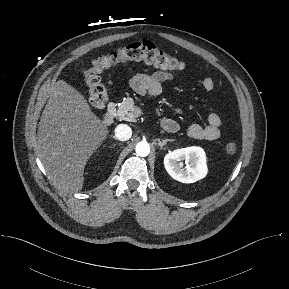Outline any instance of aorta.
I'll use <instances>...</instances> for the list:
<instances>
[{"label":"aorta","instance_id":"obj_1","mask_svg":"<svg viewBox=\"0 0 289 289\" xmlns=\"http://www.w3.org/2000/svg\"><path fill=\"white\" fill-rule=\"evenodd\" d=\"M150 152V146L147 142L141 141L136 145V153L141 157H145Z\"/></svg>","mask_w":289,"mask_h":289}]
</instances>
